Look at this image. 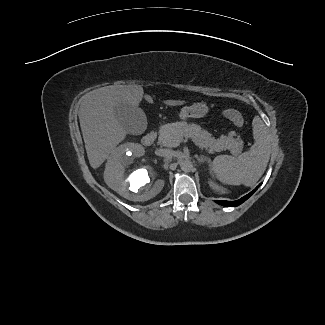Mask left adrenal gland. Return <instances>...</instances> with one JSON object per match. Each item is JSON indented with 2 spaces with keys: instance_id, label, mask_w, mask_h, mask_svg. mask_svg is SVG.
I'll use <instances>...</instances> for the list:
<instances>
[{
  "instance_id": "left-adrenal-gland-1",
  "label": "left adrenal gland",
  "mask_w": 325,
  "mask_h": 325,
  "mask_svg": "<svg viewBox=\"0 0 325 325\" xmlns=\"http://www.w3.org/2000/svg\"><path fill=\"white\" fill-rule=\"evenodd\" d=\"M196 159L199 163H204L205 161L209 162V158L204 155L196 156Z\"/></svg>"
}]
</instances>
